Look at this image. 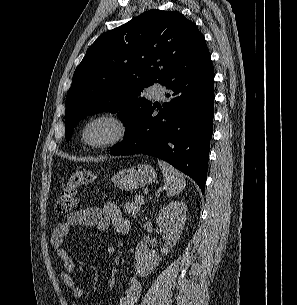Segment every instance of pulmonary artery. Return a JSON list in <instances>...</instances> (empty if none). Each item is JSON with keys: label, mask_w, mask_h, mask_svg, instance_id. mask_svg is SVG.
<instances>
[{"label": "pulmonary artery", "mask_w": 297, "mask_h": 305, "mask_svg": "<svg viewBox=\"0 0 297 305\" xmlns=\"http://www.w3.org/2000/svg\"><path fill=\"white\" fill-rule=\"evenodd\" d=\"M147 90L152 97H160L164 93V87L159 83L152 84Z\"/></svg>", "instance_id": "obj_1"}]
</instances>
